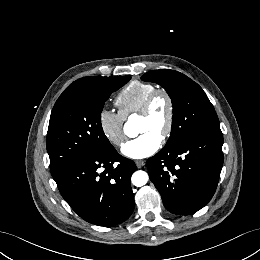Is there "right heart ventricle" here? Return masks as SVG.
Returning <instances> with one entry per match:
<instances>
[{"mask_svg": "<svg viewBox=\"0 0 260 260\" xmlns=\"http://www.w3.org/2000/svg\"><path fill=\"white\" fill-rule=\"evenodd\" d=\"M156 89V86L142 81H132L117 95L115 103L119 114L127 119L134 113H138L146 96Z\"/></svg>", "mask_w": 260, "mask_h": 260, "instance_id": "obj_1", "label": "right heart ventricle"}]
</instances>
